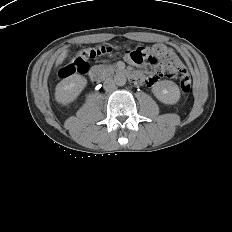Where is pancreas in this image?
<instances>
[{
	"label": "pancreas",
	"mask_w": 232,
	"mask_h": 232,
	"mask_svg": "<svg viewBox=\"0 0 232 232\" xmlns=\"http://www.w3.org/2000/svg\"><path fill=\"white\" fill-rule=\"evenodd\" d=\"M101 68H102V74H105V75H111L116 70V67L114 65H107Z\"/></svg>",
	"instance_id": "obj_1"
}]
</instances>
